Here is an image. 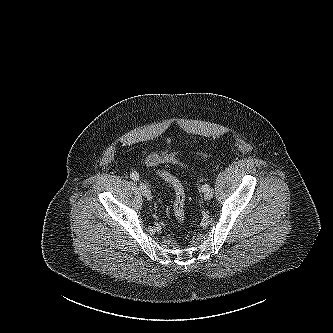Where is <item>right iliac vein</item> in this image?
<instances>
[{
	"label": "right iliac vein",
	"instance_id": "obj_1",
	"mask_svg": "<svg viewBox=\"0 0 333 333\" xmlns=\"http://www.w3.org/2000/svg\"><path fill=\"white\" fill-rule=\"evenodd\" d=\"M139 188L144 197L148 200L152 199L151 191L145 183H140Z\"/></svg>",
	"mask_w": 333,
	"mask_h": 333
}]
</instances>
